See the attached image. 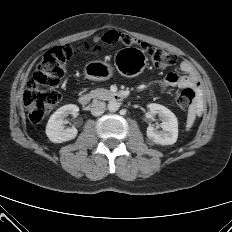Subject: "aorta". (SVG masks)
Instances as JSON below:
<instances>
[{
  "instance_id": "762f6f07",
  "label": "aorta",
  "mask_w": 232,
  "mask_h": 232,
  "mask_svg": "<svg viewBox=\"0 0 232 232\" xmlns=\"http://www.w3.org/2000/svg\"><path fill=\"white\" fill-rule=\"evenodd\" d=\"M120 105L116 100H111L108 103V110L110 112H116L119 109Z\"/></svg>"
}]
</instances>
